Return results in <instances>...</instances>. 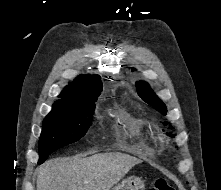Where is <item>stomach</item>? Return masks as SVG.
I'll list each match as a JSON object with an SVG mask.
<instances>
[{
	"instance_id": "0dacf381",
	"label": "stomach",
	"mask_w": 221,
	"mask_h": 190,
	"mask_svg": "<svg viewBox=\"0 0 221 190\" xmlns=\"http://www.w3.org/2000/svg\"><path fill=\"white\" fill-rule=\"evenodd\" d=\"M144 181L135 176L124 179L120 184L114 187L112 190H144Z\"/></svg>"
}]
</instances>
